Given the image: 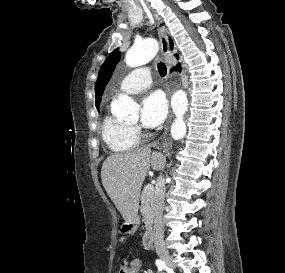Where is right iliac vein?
Listing matches in <instances>:
<instances>
[{"label": "right iliac vein", "mask_w": 285, "mask_h": 273, "mask_svg": "<svg viewBox=\"0 0 285 273\" xmlns=\"http://www.w3.org/2000/svg\"><path fill=\"white\" fill-rule=\"evenodd\" d=\"M159 256L168 267L175 268V264L168 253H160Z\"/></svg>", "instance_id": "obj_1"}]
</instances>
